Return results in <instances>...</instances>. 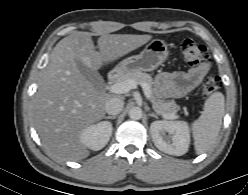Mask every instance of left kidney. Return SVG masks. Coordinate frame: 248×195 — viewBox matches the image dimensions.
Here are the masks:
<instances>
[{
    "mask_svg": "<svg viewBox=\"0 0 248 195\" xmlns=\"http://www.w3.org/2000/svg\"><path fill=\"white\" fill-rule=\"evenodd\" d=\"M150 132L155 146L162 152L181 156L188 151L190 131L186 122L154 121L151 123Z\"/></svg>",
    "mask_w": 248,
    "mask_h": 195,
    "instance_id": "obj_1",
    "label": "left kidney"
}]
</instances>
